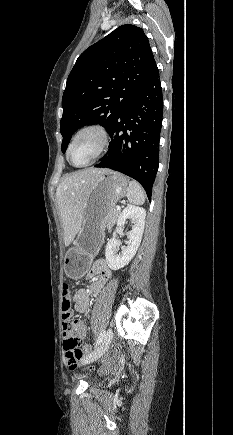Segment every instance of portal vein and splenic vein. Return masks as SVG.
<instances>
[{
	"label": "portal vein and splenic vein",
	"instance_id": "1",
	"mask_svg": "<svg viewBox=\"0 0 233 435\" xmlns=\"http://www.w3.org/2000/svg\"><path fill=\"white\" fill-rule=\"evenodd\" d=\"M121 209V207L120 206H117V210H120Z\"/></svg>",
	"mask_w": 233,
	"mask_h": 435
}]
</instances>
